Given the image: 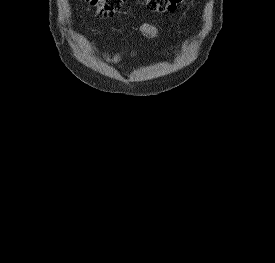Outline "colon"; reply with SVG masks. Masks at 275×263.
Wrapping results in <instances>:
<instances>
[{
    "label": "colon",
    "mask_w": 275,
    "mask_h": 263,
    "mask_svg": "<svg viewBox=\"0 0 275 263\" xmlns=\"http://www.w3.org/2000/svg\"><path fill=\"white\" fill-rule=\"evenodd\" d=\"M85 2L97 15L107 17L119 12L126 0H85ZM138 2L154 12H173L180 7L183 0H138Z\"/></svg>",
    "instance_id": "5ec220e1"
}]
</instances>
